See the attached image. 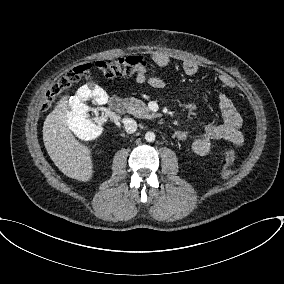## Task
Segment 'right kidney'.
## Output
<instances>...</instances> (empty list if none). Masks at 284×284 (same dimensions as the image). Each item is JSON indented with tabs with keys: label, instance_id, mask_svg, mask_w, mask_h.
I'll use <instances>...</instances> for the list:
<instances>
[{
	"label": "right kidney",
	"instance_id": "1",
	"mask_svg": "<svg viewBox=\"0 0 284 284\" xmlns=\"http://www.w3.org/2000/svg\"><path fill=\"white\" fill-rule=\"evenodd\" d=\"M89 98H94L99 105L108 101L107 93L96 84H86L77 90L71 100V110L68 113V126L81 140L89 141L97 138L103 131L100 125L95 124L87 117L89 106L84 104Z\"/></svg>",
	"mask_w": 284,
	"mask_h": 284
}]
</instances>
